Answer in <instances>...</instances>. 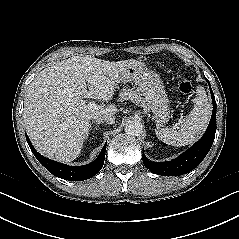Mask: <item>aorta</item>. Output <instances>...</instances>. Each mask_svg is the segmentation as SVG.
Masks as SVG:
<instances>
[{
	"mask_svg": "<svg viewBox=\"0 0 239 239\" xmlns=\"http://www.w3.org/2000/svg\"><path fill=\"white\" fill-rule=\"evenodd\" d=\"M143 125L137 120H131L126 123L125 132L127 135L139 136L143 133Z\"/></svg>",
	"mask_w": 239,
	"mask_h": 239,
	"instance_id": "762f6f07",
	"label": "aorta"
}]
</instances>
